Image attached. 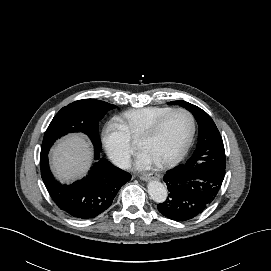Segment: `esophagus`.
I'll return each instance as SVG.
<instances>
[{
  "label": "esophagus",
  "instance_id": "1",
  "mask_svg": "<svg viewBox=\"0 0 271 271\" xmlns=\"http://www.w3.org/2000/svg\"><path fill=\"white\" fill-rule=\"evenodd\" d=\"M139 177L143 181L159 180L161 178V176L159 174H157V173L142 174Z\"/></svg>",
  "mask_w": 271,
  "mask_h": 271
}]
</instances>
